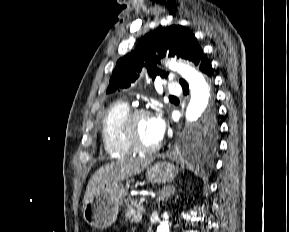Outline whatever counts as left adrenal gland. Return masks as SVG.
Wrapping results in <instances>:
<instances>
[{
    "instance_id": "a2214340",
    "label": "left adrenal gland",
    "mask_w": 289,
    "mask_h": 232,
    "mask_svg": "<svg viewBox=\"0 0 289 232\" xmlns=\"http://www.w3.org/2000/svg\"><path fill=\"white\" fill-rule=\"evenodd\" d=\"M175 192V187L172 185L170 186H164L163 189L159 191V195L156 199L157 203H160L161 200H164L165 198H169L171 195H173Z\"/></svg>"
}]
</instances>
